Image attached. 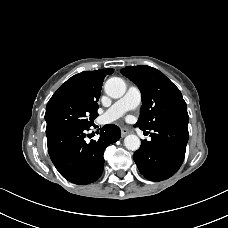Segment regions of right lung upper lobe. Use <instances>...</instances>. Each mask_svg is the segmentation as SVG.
Instances as JSON below:
<instances>
[{"label": "right lung upper lobe", "mask_w": 228, "mask_h": 228, "mask_svg": "<svg viewBox=\"0 0 228 228\" xmlns=\"http://www.w3.org/2000/svg\"><path fill=\"white\" fill-rule=\"evenodd\" d=\"M113 69L85 71L72 76L62 86L70 87L85 99L97 102L106 74L113 73Z\"/></svg>", "instance_id": "1"}]
</instances>
